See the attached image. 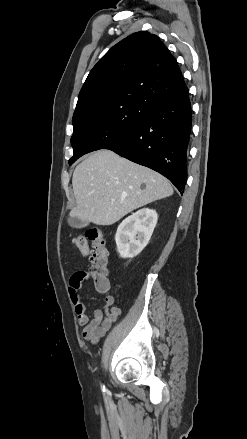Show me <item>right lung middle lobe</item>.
Returning a JSON list of instances; mask_svg holds the SVG:
<instances>
[{"label":"right lung middle lobe","mask_w":247,"mask_h":439,"mask_svg":"<svg viewBox=\"0 0 247 439\" xmlns=\"http://www.w3.org/2000/svg\"><path fill=\"white\" fill-rule=\"evenodd\" d=\"M149 107L130 100L110 101L73 115L74 150L69 164L82 155L107 149L130 133L146 116Z\"/></svg>","instance_id":"dd1d6c3e"}]
</instances>
